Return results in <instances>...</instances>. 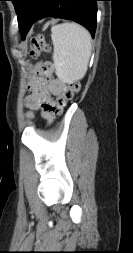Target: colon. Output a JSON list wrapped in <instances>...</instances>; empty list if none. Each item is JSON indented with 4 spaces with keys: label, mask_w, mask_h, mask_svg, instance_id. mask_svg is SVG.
<instances>
[{
    "label": "colon",
    "mask_w": 133,
    "mask_h": 253,
    "mask_svg": "<svg viewBox=\"0 0 133 253\" xmlns=\"http://www.w3.org/2000/svg\"><path fill=\"white\" fill-rule=\"evenodd\" d=\"M49 45L46 43L42 36L35 37L32 40L30 54L32 56L38 55L41 51H48ZM71 81V80H70ZM80 91V83L78 81H72L67 85L66 91L60 96L53 107V112L57 115L67 105V103Z\"/></svg>",
    "instance_id": "1"
}]
</instances>
